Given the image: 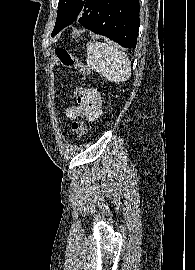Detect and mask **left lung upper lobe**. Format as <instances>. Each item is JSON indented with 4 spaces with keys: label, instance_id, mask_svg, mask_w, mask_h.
Masks as SVG:
<instances>
[{
    "label": "left lung upper lobe",
    "instance_id": "1",
    "mask_svg": "<svg viewBox=\"0 0 195 270\" xmlns=\"http://www.w3.org/2000/svg\"><path fill=\"white\" fill-rule=\"evenodd\" d=\"M86 0H59L57 19L51 36L73 23L81 12Z\"/></svg>",
    "mask_w": 195,
    "mask_h": 270
}]
</instances>
